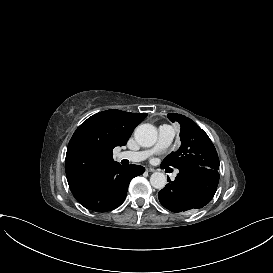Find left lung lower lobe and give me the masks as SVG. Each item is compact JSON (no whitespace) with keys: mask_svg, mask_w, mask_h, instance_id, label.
Masks as SVG:
<instances>
[{"mask_svg":"<svg viewBox=\"0 0 273 273\" xmlns=\"http://www.w3.org/2000/svg\"><path fill=\"white\" fill-rule=\"evenodd\" d=\"M162 168H165L161 164ZM175 181L159 191L160 203L168 210L178 213L202 208L213 198L219 182L218 170L206 167L178 168Z\"/></svg>","mask_w":273,"mask_h":273,"instance_id":"obj_1","label":"left lung lower lobe"}]
</instances>
